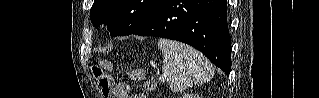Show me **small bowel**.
<instances>
[{
	"label": "small bowel",
	"mask_w": 319,
	"mask_h": 98,
	"mask_svg": "<svg viewBox=\"0 0 319 98\" xmlns=\"http://www.w3.org/2000/svg\"><path fill=\"white\" fill-rule=\"evenodd\" d=\"M130 86L125 82H117L113 85V94L116 98H130ZM135 98H146L142 94H138Z\"/></svg>",
	"instance_id": "1"
}]
</instances>
